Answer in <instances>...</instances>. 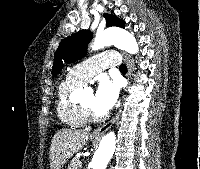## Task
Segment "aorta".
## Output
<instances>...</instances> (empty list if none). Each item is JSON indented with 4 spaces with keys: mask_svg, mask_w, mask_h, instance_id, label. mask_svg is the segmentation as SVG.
I'll return each mask as SVG.
<instances>
[{
    "mask_svg": "<svg viewBox=\"0 0 200 169\" xmlns=\"http://www.w3.org/2000/svg\"><path fill=\"white\" fill-rule=\"evenodd\" d=\"M110 45H114L130 54L138 52V43L134 36L128 32L116 29H107L102 33H98L91 47L93 50H98ZM115 147L116 137L114 132H109L103 136L98 149L93 155L91 161L92 169H106L107 164L114 154Z\"/></svg>",
    "mask_w": 200,
    "mask_h": 169,
    "instance_id": "aorta-1",
    "label": "aorta"
}]
</instances>
